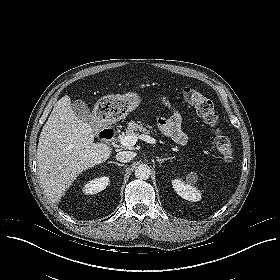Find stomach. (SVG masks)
<instances>
[{
    "label": "stomach",
    "mask_w": 280,
    "mask_h": 280,
    "mask_svg": "<svg viewBox=\"0 0 280 280\" xmlns=\"http://www.w3.org/2000/svg\"><path fill=\"white\" fill-rule=\"evenodd\" d=\"M141 101L140 95L136 92L107 95L98 101V110L106 122L115 123L135 110Z\"/></svg>",
    "instance_id": "obj_1"
}]
</instances>
